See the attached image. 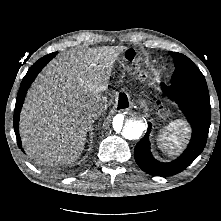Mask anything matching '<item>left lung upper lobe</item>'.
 <instances>
[{
	"label": "left lung upper lobe",
	"mask_w": 221,
	"mask_h": 221,
	"mask_svg": "<svg viewBox=\"0 0 221 221\" xmlns=\"http://www.w3.org/2000/svg\"><path fill=\"white\" fill-rule=\"evenodd\" d=\"M174 59L175 71L171 79V83L190 79H201L204 75L198 69V67L185 55L170 52Z\"/></svg>",
	"instance_id": "5c2ea615"
}]
</instances>
